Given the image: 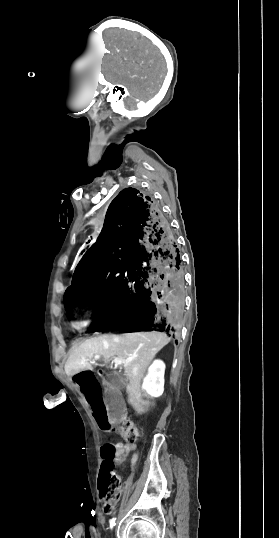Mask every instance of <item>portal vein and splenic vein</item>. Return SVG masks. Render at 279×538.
Returning a JSON list of instances; mask_svg holds the SVG:
<instances>
[{
  "label": "portal vein and splenic vein",
  "instance_id": "obj_1",
  "mask_svg": "<svg viewBox=\"0 0 279 538\" xmlns=\"http://www.w3.org/2000/svg\"><path fill=\"white\" fill-rule=\"evenodd\" d=\"M94 358L97 360V358H100V356H94ZM114 364L115 366H119V364H123V360H120V358H115Z\"/></svg>",
  "mask_w": 279,
  "mask_h": 538
}]
</instances>
